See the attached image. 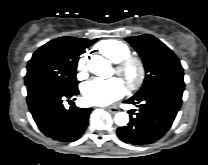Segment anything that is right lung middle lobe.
<instances>
[{"instance_id":"dd1d6c3e","label":"right lung middle lobe","mask_w":208,"mask_h":165,"mask_svg":"<svg viewBox=\"0 0 208 165\" xmlns=\"http://www.w3.org/2000/svg\"><path fill=\"white\" fill-rule=\"evenodd\" d=\"M97 39L73 43L63 37L41 46L29 60L25 85L28 95L43 88L71 91L77 88L76 68L79 56Z\"/></svg>"}]
</instances>
